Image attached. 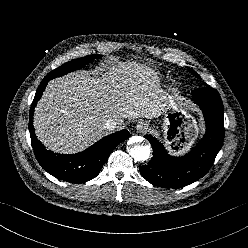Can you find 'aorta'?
I'll return each mask as SVG.
<instances>
[{"instance_id": "aorta-1", "label": "aorta", "mask_w": 248, "mask_h": 248, "mask_svg": "<svg viewBox=\"0 0 248 248\" xmlns=\"http://www.w3.org/2000/svg\"><path fill=\"white\" fill-rule=\"evenodd\" d=\"M135 142L140 141L139 137H133ZM129 154L137 161H146L151 154V147L149 145H134L128 148Z\"/></svg>"}]
</instances>
